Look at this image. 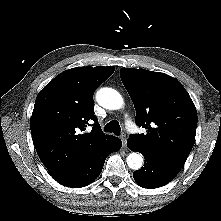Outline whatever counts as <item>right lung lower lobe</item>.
<instances>
[{"label": "right lung lower lobe", "instance_id": "obj_1", "mask_svg": "<svg viewBox=\"0 0 221 221\" xmlns=\"http://www.w3.org/2000/svg\"><path fill=\"white\" fill-rule=\"evenodd\" d=\"M121 146V140L115 137L109 144L92 154L73 172L56 181L61 185L74 188L90 184L100 174L107 156L118 151Z\"/></svg>", "mask_w": 221, "mask_h": 221}]
</instances>
